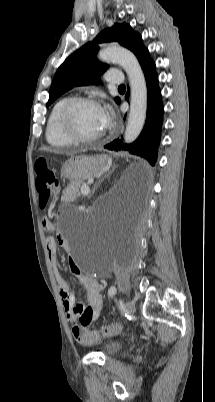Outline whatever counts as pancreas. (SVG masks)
<instances>
[{
	"instance_id": "cf45deb5",
	"label": "pancreas",
	"mask_w": 215,
	"mask_h": 402,
	"mask_svg": "<svg viewBox=\"0 0 215 402\" xmlns=\"http://www.w3.org/2000/svg\"><path fill=\"white\" fill-rule=\"evenodd\" d=\"M86 183L84 182H74L72 183L69 187H67V192L71 195V196H79L80 195V190L83 187H86Z\"/></svg>"
}]
</instances>
